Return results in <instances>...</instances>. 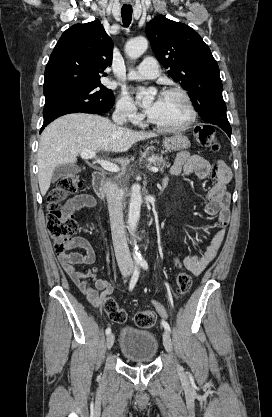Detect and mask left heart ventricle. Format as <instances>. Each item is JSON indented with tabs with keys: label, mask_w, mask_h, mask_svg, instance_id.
I'll list each match as a JSON object with an SVG mask.
<instances>
[{
	"label": "left heart ventricle",
	"mask_w": 272,
	"mask_h": 417,
	"mask_svg": "<svg viewBox=\"0 0 272 417\" xmlns=\"http://www.w3.org/2000/svg\"><path fill=\"white\" fill-rule=\"evenodd\" d=\"M188 118V109L183 99L177 95H163L157 112L151 119L164 126H176Z\"/></svg>",
	"instance_id": "b2bd125f"
}]
</instances>
